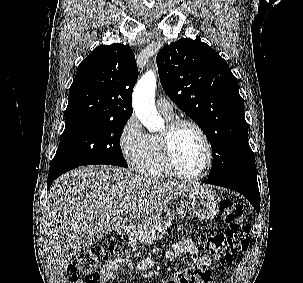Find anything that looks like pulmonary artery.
Wrapping results in <instances>:
<instances>
[{
    "mask_svg": "<svg viewBox=\"0 0 303 283\" xmlns=\"http://www.w3.org/2000/svg\"><path fill=\"white\" fill-rule=\"evenodd\" d=\"M157 109L160 114H162L164 117L172 118L173 117V107L172 104L163 97H160L157 99L156 102Z\"/></svg>",
    "mask_w": 303,
    "mask_h": 283,
    "instance_id": "pulmonary-artery-1",
    "label": "pulmonary artery"
}]
</instances>
